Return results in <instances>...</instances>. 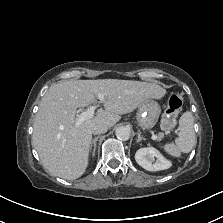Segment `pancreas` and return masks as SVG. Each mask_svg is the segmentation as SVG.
<instances>
[{
    "mask_svg": "<svg viewBox=\"0 0 223 223\" xmlns=\"http://www.w3.org/2000/svg\"><path fill=\"white\" fill-rule=\"evenodd\" d=\"M162 138H163V134L160 133V134L158 135V139H157V140H161Z\"/></svg>",
    "mask_w": 223,
    "mask_h": 223,
    "instance_id": "cf45deb5",
    "label": "pancreas"
}]
</instances>
